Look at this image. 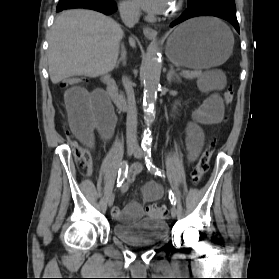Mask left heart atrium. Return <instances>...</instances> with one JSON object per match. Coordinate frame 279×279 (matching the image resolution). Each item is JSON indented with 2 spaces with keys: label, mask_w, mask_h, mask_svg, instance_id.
Returning a JSON list of instances; mask_svg holds the SVG:
<instances>
[{
  "label": "left heart atrium",
  "mask_w": 279,
  "mask_h": 279,
  "mask_svg": "<svg viewBox=\"0 0 279 279\" xmlns=\"http://www.w3.org/2000/svg\"><path fill=\"white\" fill-rule=\"evenodd\" d=\"M134 1L140 8L153 15L166 14L170 10L173 3V0H134Z\"/></svg>",
  "instance_id": "1"
}]
</instances>
